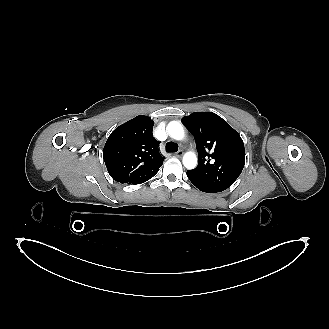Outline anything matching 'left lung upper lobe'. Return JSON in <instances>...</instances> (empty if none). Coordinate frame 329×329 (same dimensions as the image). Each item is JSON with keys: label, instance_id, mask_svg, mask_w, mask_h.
<instances>
[{"label": "left lung upper lobe", "instance_id": "left-lung-upper-lobe-1", "mask_svg": "<svg viewBox=\"0 0 329 329\" xmlns=\"http://www.w3.org/2000/svg\"><path fill=\"white\" fill-rule=\"evenodd\" d=\"M182 121L194 135L198 150V166L189 172L222 191L229 188L245 164L244 143L238 132L212 112H194Z\"/></svg>", "mask_w": 329, "mask_h": 329}]
</instances>
